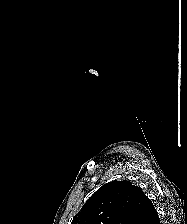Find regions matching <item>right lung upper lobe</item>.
I'll return each instance as SVG.
<instances>
[{
	"label": "right lung upper lobe",
	"mask_w": 187,
	"mask_h": 224,
	"mask_svg": "<svg viewBox=\"0 0 187 224\" xmlns=\"http://www.w3.org/2000/svg\"><path fill=\"white\" fill-rule=\"evenodd\" d=\"M71 224H160V220L139 187L128 181H112L86 201Z\"/></svg>",
	"instance_id": "1"
}]
</instances>
